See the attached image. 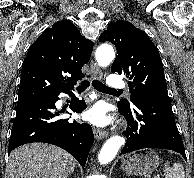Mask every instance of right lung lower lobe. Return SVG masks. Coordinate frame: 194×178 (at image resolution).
I'll return each instance as SVG.
<instances>
[{
    "instance_id": "98d812e1",
    "label": "right lung lower lobe",
    "mask_w": 194,
    "mask_h": 178,
    "mask_svg": "<svg viewBox=\"0 0 194 178\" xmlns=\"http://www.w3.org/2000/svg\"><path fill=\"white\" fill-rule=\"evenodd\" d=\"M59 94L17 103L8 153L26 143L46 142L68 151L84 168L94 142L92 128L89 124L57 119L61 113L55 111ZM85 108V102L78 99L70 105L73 112L81 113Z\"/></svg>"
}]
</instances>
